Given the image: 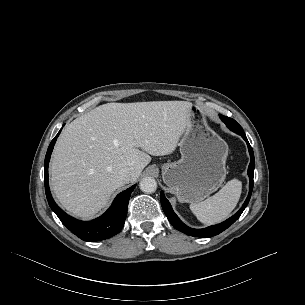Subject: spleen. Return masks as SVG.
Here are the masks:
<instances>
[{"label": "spleen", "mask_w": 305, "mask_h": 305, "mask_svg": "<svg viewBox=\"0 0 305 305\" xmlns=\"http://www.w3.org/2000/svg\"><path fill=\"white\" fill-rule=\"evenodd\" d=\"M242 191V183L232 179L216 194L199 203H191L190 209L197 219L206 225L225 220L236 207Z\"/></svg>", "instance_id": "spleen-1"}]
</instances>
